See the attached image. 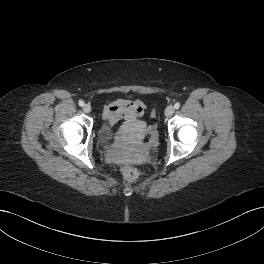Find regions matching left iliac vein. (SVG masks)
<instances>
[{
    "label": "left iliac vein",
    "mask_w": 264,
    "mask_h": 264,
    "mask_svg": "<svg viewBox=\"0 0 264 264\" xmlns=\"http://www.w3.org/2000/svg\"><path fill=\"white\" fill-rule=\"evenodd\" d=\"M174 111H175V110H174V107L171 106V105H169V106H167L166 109H165V115H166L167 117H170V116L173 115Z\"/></svg>",
    "instance_id": "4c4485c4"
}]
</instances>
